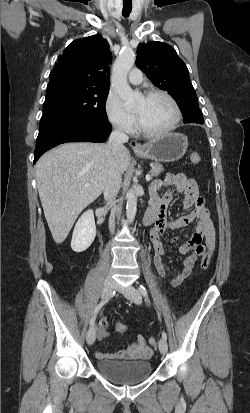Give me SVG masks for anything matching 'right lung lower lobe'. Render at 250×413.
<instances>
[{
    "instance_id": "1",
    "label": "right lung lower lobe",
    "mask_w": 250,
    "mask_h": 413,
    "mask_svg": "<svg viewBox=\"0 0 250 413\" xmlns=\"http://www.w3.org/2000/svg\"><path fill=\"white\" fill-rule=\"evenodd\" d=\"M112 126L108 120L69 119L39 130L34 163L49 149L66 142H104Z\"/></svg>"
}]
</instances>
